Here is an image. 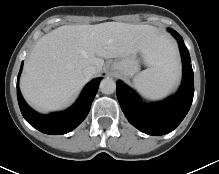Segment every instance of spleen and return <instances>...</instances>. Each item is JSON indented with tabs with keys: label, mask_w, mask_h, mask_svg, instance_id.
Wrapping results in <instances>:
<instances>
[{
	"label": "spleen",
	"mask_w": 219,
	"mask_h": 174,
	"mask_svg": "<svg viewBox=\"0 0 219 174\" xmlns=\"http://www.w3.org/2000/svg\"><path fill=\"white\" fill-rule=\"evenodd\" d=\"M180 71L169 52L152 67L139 73L133 83L137 91L150 100H160L169 95L176 87Z\"/></svg>",
	"instance_id": "spleen-1"
}]
</instances>
